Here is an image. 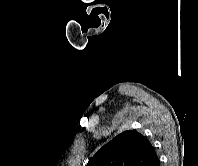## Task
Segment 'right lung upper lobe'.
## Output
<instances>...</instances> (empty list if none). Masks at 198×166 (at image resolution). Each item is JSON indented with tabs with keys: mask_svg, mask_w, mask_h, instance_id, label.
<instances>
[{
	"mask_svg": "<svg viewBox=\"0 0 198 166\" xmlns=\"http://www.w3.org/2000/svg\"><path fill=\"white\" fill-rule=\"evenodd\" d=\"M157 158L147 138L128 130L104 145L86 166H150Z\"/></svg>",
	"mask_w": 198,
	"mask_h": 166,
	"instance_id": "cb5924a9",
	"label": "right lung upper lobe"
}]
</instances>
